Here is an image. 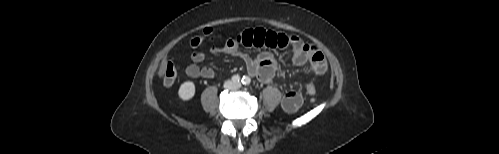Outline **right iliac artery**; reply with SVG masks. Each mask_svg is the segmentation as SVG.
I'll use <instances>...</instances> for the list:
<instances>
[{
    "instance_id": "obj_1",
    "label": "right iliac artery",
    "mask_w": 499,
    "mask_h": 154,
    "mask_svg": "<svg viewBox=\"0 0 499 154\" xmlns=\"http://www.w3.org/2000/svg\"><path fill=\"white\" fill-rule=\"evenodd\" d=\"M240 80H241V77L239 75H234L232 77V81L235 83H239Z\"/></svg>"
}]
</instances>
